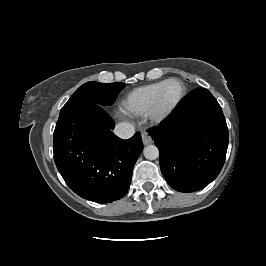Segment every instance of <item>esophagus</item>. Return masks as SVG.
I'll use <instances>...</instances> for the list:
<instances>
[{
    "mask_svg": "<svg viewBox=\"0 0 266 266\" xmlns=\"http://www.w3.org/2000/svg\"><path fill=\"white\" fill-rule=\"evenodd\" d=\"M142 141H143L144 145H148V144L152 143V138L146 132H143L142 133Z\"/></svg>",
    "mask_w": 266,
    "mask_h": 266,
    "instance_id": "34e87169",
    "label": "esophagus"
}]
</instances>
